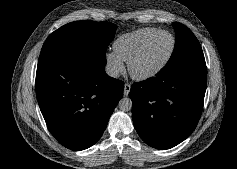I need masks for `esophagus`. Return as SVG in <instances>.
<instances>
[{"mask_svg":"<svg viewBox=\"0 0 237 169\" xmlns=\"http://www.w3.org/2000/svg\"><path fill=\"white\" fill-rule=\"evenodd\" d=\"M130 90H131V84L130 83H126L124 85V96H127L129 94Z\"/></svg>","mask_w":237,"mask_h":169,"instance_id":"esophagus-1","label":"esophagus"}]
</instances>
